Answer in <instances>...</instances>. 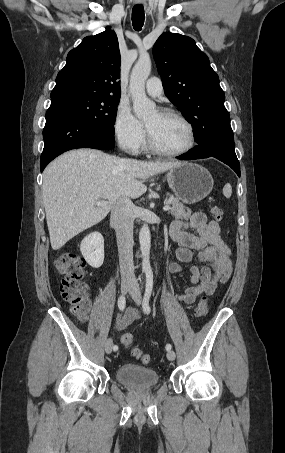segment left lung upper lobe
<instances>
[{"label":"left lung upper lobe","instance_id":"left-lung-upper-lobe-1","mask_svg":"<svg viewBox=\"0 0 285 453\" xmlns=\"http://www.w3.org/2000/svg\"><path fill=\"white\" fill-rule=\"evenodd\" d=\"M153 57L166 96L191 123L197 143L213 135L233 134L219 77L192 38L163 33Z\"/></svg>","mask_w":285,"mask_h":453}]
</instances>
